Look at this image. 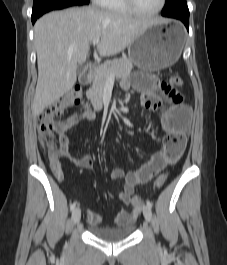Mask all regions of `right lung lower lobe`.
Returning <instances> with one entry per match:
<instances>
[{"mask_svg": "<svg viewBox=\"0 0 227 265\" xmlns=\"http://www.w3.org/2000/svg\"><path fill=\"white\" fill-rule=\"evenodd\" d=\"M70 6H74V5H69V6H65V7H62V8H66V7H70ZM62 8H60V9H62ZM37 18L38 17H32V23L33 24L35 23V21H36Z\"/></svg>", "mask_w": 227, "mask_h": 265, "instance_id": "obj_1", "label": "right lung lower lobe"}]
</instances>
